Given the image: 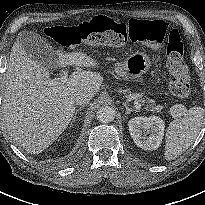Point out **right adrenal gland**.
I'll use <instances>...</instances> for the list:
<instances>
[{
    "label": "right adrenal gland",
    "instance_id": "obj_1",
    "mask_svg": "<svg viewBox=\"0 0 205 205\" xmlns=\"http://www.w3.org/2000/svg\"><path fill=\"white\" fill-rule=\"evenodd\" d=\"M81 110H82V107H80L79 109L76 110L75 115H74L73 118H72L71 125H72V123H74V122L76 121L77 114H78Z\"/></svg>",
    "mask_w": 205,
    "mask_h": 205
}]
</instances>
